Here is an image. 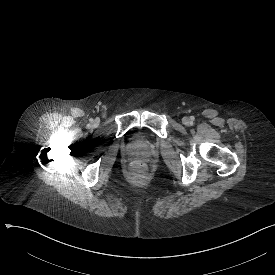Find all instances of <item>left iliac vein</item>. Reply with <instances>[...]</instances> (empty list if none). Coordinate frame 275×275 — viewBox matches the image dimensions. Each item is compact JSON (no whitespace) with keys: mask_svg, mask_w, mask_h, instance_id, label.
Instances as JSON below:
<instances>
[{"mask_svg":"<svg viewBox=\"0 0 275 275\" xmlns=\"http://www.w3.org/2000/svg\"><path fill=\"white\" fill-rule=\"evenodd\" d=\"M182 122H183V124L188 125L189 124V119L187 117H184Z\"/></svg>","mask_w":275,"mask_h":275,"instance_id":"left-iliac-vein-1","label":"left iliac vein"}]
</instances>
